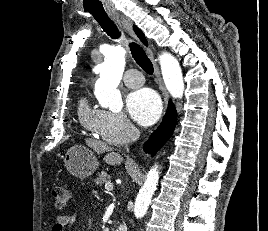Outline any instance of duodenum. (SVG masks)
Returning <instances> with one entry per match:
<instances>
[{
	"instance_id": "1",
	"label": "duodenum",
	"mask_w": 268,
	"mask_h": 231,
	"mask_svg": "<svg viewBox=\"0 0 268 231\" xmlns=\"http://www.w3.org/2000/svg\"><path fill=\"white\" fill-rule=\"evenodd\" d=\"M115 231H127V225L122 223L116 228Z\"/></svg>"
}]
</instances>
